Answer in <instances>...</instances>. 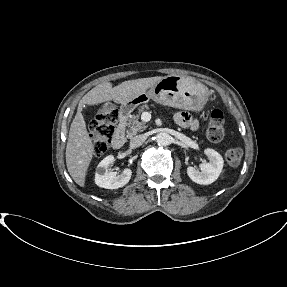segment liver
<instances>
[{
	"label": "liver",
	"mask_w": 287,
	"mask_h": 287,
	"mask_svg": "<svg viewBox=\"0 0 287 287\" xmlns=\"http://www.w3.org/2000/svg\"><path fill=\"white\" fill-rule=\"evenodd\" d=\"M162 78L161 76H156L128 80L115 87L110 82H104L82 97L77 113L71 123L65 153L68 172L79 186H85L87 170L94 154V144L86 129V123L81 113L83 107L85 105H98L107 101L122 104L145 93Z\"/></svg>",
	"instance_id": "6515ba94"
}]
</instances>
